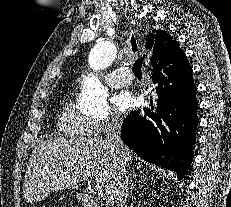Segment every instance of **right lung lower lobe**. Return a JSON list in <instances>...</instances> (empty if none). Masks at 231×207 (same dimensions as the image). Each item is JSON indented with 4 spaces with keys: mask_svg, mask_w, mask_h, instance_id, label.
Segmentation results:
<instances>
[{
    "mask_svg": "<svg viewBox=\"0 0 231 207\" xmlns=\"http://www.w3.org/2000/svg\"><path fill=\"white\" fill-rule=\"evenodd\" d=\"M158 61L152 62L156 95L150 100V107L127 116L121 137L145 161L173 170L183 178L193 160L196 141V86L187 59L167 65L162 58Z\"/></svg>",
    "mask_w": 231,
    "mask_h": 207,
    "instance_id": "right-lung-lower-lobe-1",
    "label": "right lung lower lobe"
}]
</instances>
